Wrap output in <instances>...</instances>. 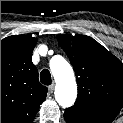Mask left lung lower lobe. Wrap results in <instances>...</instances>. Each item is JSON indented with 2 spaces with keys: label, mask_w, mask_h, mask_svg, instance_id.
Instances as JSON below:
<instances>
[{
  "label": "left lung lower lobe",
  "mask_w": 123,
  "mask_h": 123,
  "mask_svg": "<svg viewBox=\"0 0 123 123\" xmlns=\"http://www.w3.org/2000/svg\"><path fill=\"white\" fill-rule=\"evenodd\" d=\"M64 118L67 123H111L112 118L87 111L79 106L65 110Z\"/></svg>",
  "instance_id": "0a47b994"
}]
</instances>
